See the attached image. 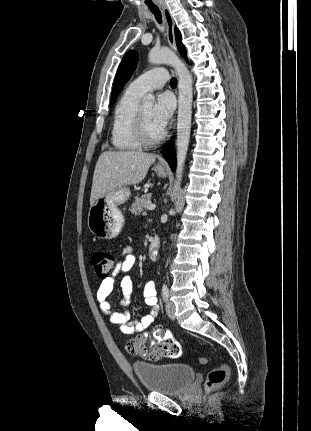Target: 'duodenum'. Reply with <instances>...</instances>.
Returning <instances> with one entry per match:
<instances>
[{
	"instance_id": "410a0bca",
	"label": "duodenum",
	"mask_w": 311,
	"mask_h": 431,
	"mask_svg": "<svg viewBox=\"0 0 311 431\" xmlns=\"http://www.w3.org/2000/svg\"><path fill=\"white\" fill-rule=\"evenodd\" d=\"M160 251V240L158 237H154L149 246V256L152 260H156Z\"/></svg>"
}]
</instances>
